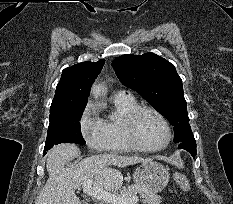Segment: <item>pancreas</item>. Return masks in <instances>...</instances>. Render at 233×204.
<instances>
[{
  "instance_id": "pancreas-1",
  "label": "pancreas",
  "mask_w": 233,
  "mask_h": 204,
  "mask_svg": "<svg viewBox=\"0 0 233 204\" xmlns=\"http://www.w3.org/2000/svg\"><path fill=\"white\" fill-rule=\"evenodd\" d=\"M137 194L141 197V202L143 204H160L161 203V197L151 192L147 189L141 188L138 185H132L128 188H124L118 196L120 197H126V198H132L133 196H136Z\"/></svg>"
}]
</instances>
